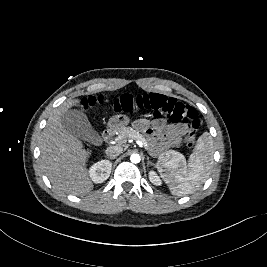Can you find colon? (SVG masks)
Segmentation results:
<instances>
[{
  "mask_svg": "<svg viewBox=\"0 0 267 267\" xmlns=\"http://www.w3.org/2000/svg\"><path fill=\"white\" fill-rule=\"evenodd\" d=\"M86 107L102 104V98L90 97L83 100ZM111 109L116 112H132L135 110H147L155 118L167 117L171 122L184 123L187 125V132L184 138L187 147H193L197 130L200 126L198 112L195 108L175 98L158 93H150L139 96L124 94L116 98Z\"/></svg>",
  "mask_w": 267,
  "mask_h": 267,
  "instance_id": "colon-1",
  "label": "colon"
}]
</instances>
